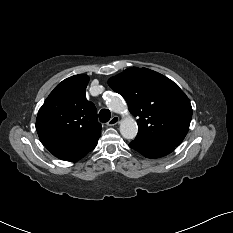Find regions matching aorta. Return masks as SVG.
<instances>
[{"instance_id": "762f6f07", "label": "aorta", "mask_w": 233, "mask_h": 233, "mask_svg": "<svg viewBox=\"0 0 233 233\" xmlns=\"http://www.w3.org/2000/svg\"><path fill=\"white\" fill-rule=\"evenodd\" d=\"M107 106L113 112L125 115L120 123V133L125 139H134L138 132V125L128 114L127 105L123 98L117 94H111L108 96Z\"/></svg>"}]
</instances>
